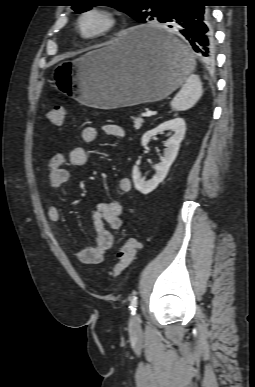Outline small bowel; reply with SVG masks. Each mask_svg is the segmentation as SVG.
<instances>
[{"instance_id":"c3829d8e","label":"small bowel","mask_w":255,"mask_h":387,"mask_svg":"<svg viewBox=\"0 0 255 387\" xmlns=\"http://www.w3.org/2000/svg\"><path fill=\"white\" fill-rule=\"evenodd\" d=\"M103 132L118 139L125 137V130L118 124L108 123L102 126ZM98 131L93 126H86L81 130V139L90 144L96 141ZM64 153L55 154L48 163V181L53 189L64 186L70 179V172L64 167L66 162ZM68 161L74 166H83L88 161L87 152L82 147H75L68 153ZM132 188L129 177L118 180V189L121 193H128ZM123 204L116 199L99 203L93 213L94 236L93 244L87 247H78L72 250L77 260L85 264H98L102 262L105 252L113 245L115 236L122 226ZM48 218L51 222H58L60 209L52 205L48 209ZM107 226L109 228H107Z\"/></svg>"}]
</instances>
